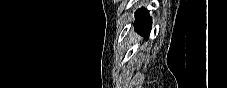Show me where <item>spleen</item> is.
I'll use <instances>...</instances> for the list:
<instances>
[{
  "label": "spleen",
  "instance_id": "spleen-1",
  "mask_svg": "<svg viewBox=\"0 0 227 88\" xmlns=\"http://www.w3.org/2000/svg\"><path fill=\"white\" fill-rule=\"evenodd\" d=\"M137 39L140 40V37H137ZM135 42H136V40H135Z\"/></svg>",
  "mask_w": 227,
  "mask_h": 88
}]
</instances>
